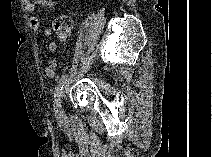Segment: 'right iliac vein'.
Instances as JSON below:
<instances>
[{
	"label": "right iliac vein",
	"instance_id": "obj_1",
	"mask_svg": "<svg viewBox=\"0 0 212 157\" xmlns=\"http://www.w3.org/2000/svg\"><path fill=\"white\" fill-rule=\"evenodd\" d=\"M60 100H63V92H61Z\"/></svg>",
	"mask_w": 212,
	"mask_h": 157
}]
</instances>
